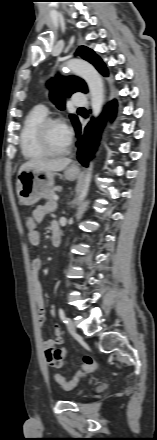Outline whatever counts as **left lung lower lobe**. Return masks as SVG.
Wrapping results in <instances>:
<instances>
[{
  "instance_id": "1",
  "label": "left lung lower lobe",
  "mask_w": 157,
  "mask_h": 440,
  "mask_svg": "<svg viewBox=\"0 0 157 440\" xmlns=\"http://www.w3.org/2000/svg\"><path fill=\"white\" fill-rule=\"evenodd\" d=\"M117 110L116 100L111 101L107 107L108 117L111 121L114 120ZM105 125V116L101 115L97 120H93L82 130L80 123L75 127L77 141V159L79 162L87 167L90 159L93 158V153L96 151L101 138V132Z\"/></svg>"
}]
</instances>
